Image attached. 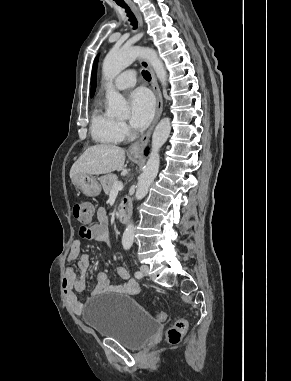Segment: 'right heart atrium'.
I'll use <instances>...</instances> for the list:
<instances>
[{
  "mask_svg": "<svg viewBox=\"0 0 291 381\" xmlns=\"http://www.w3.org/2000/svg\"><path fill=\"white\" fill-rule=\"evenodd\" d=\"M120 128H121V131L123 132V134L128 133V127L126 126V124L120 123Z\"/></svg>",
  "mask_w": 291,
  "mask_h": 381,
  "instance_id": "right-heart-atrium-1",
  "label": "right heart atrium"
}]
</instances>
